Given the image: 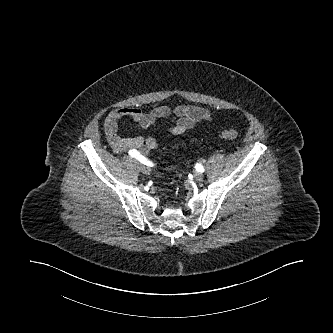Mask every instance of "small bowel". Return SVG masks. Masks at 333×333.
I'll return each mask as SVG.
<instances>
[{"label":"small bowel","instance_id":"c3829d8e","mask_svg":"<svg viewBox=\"0 0 333 333\" xmlns=\"http://www.w3.org/2000/svg\"><path fill=\"white\" fill-rule=\"evenodd\" d=\"M124 118H130L147 130L159 120H170L168 131L180 135L191 129L199 121H209L210 113L194 105H177L174 107L158 106L149 111L139 108L123 107L110 111L104 120V133L106 139L118 154L136 150L146 154L158 147V142L153 136H136L123 138L118 134V123Z\"/></svg>","mask_w":333,"mask_h":333}]
</instances>
